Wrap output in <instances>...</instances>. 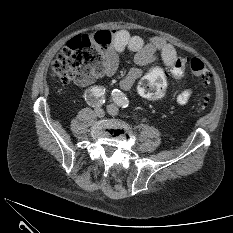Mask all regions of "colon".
<instances>
[{
	"instance_id": "5ec220e1",
	"label": "colon",
	"mask_w": 233,
	"mask_h": 233,
	"mask_svg": "<svg viewBox=\"0 0 233 233\" xmlns=\"http://www.w3.org/2000/svg\"><path fill=\"white\" fill-rule=\"evenodd\" d=\"M111 44V35L107 32L95 36H76L57 54L52 62V73L62 83H87L98 72V65ZM189 67L199 82L209 86L213 82L211 72L198 58L190 60L177 57L168 71L154 66L148 70L139 84V93L150 100L160 99L166 89L167 76L179 79ZM208 99L205 100V106Z\"/></svg>"
}]
</instances>
